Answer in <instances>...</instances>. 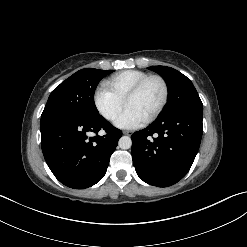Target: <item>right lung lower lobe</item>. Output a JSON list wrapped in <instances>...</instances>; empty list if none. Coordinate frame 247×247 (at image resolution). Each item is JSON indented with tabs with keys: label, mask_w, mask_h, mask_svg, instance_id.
Listing matches in <instances>:
<instances>
[{
	"label": "right lung lower lobe",
	"mask_w": 247,
	"mask_h": 247,
	"mask_svg": "<svg viewBox=\"0 0 247 247\" xmlns=\"http://www.w3.org/2000/svg\"><path fill=\"white\" fill-rule=\"evenodd\" d=\"M101 129L104 136H87ZM40 130L47 165L62 184L75 189L88 188L103 178L122 135L101 115L88 118L64 112L42 116Z\"/></svg>",
	"instance_id": "right-lung-lower-lobe-1"
}]
</instances>
